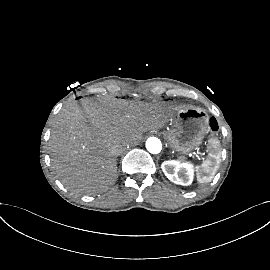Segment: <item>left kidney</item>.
<instances>
[{"instance_id": "5707ae66", "label": "left kidney", "mask_w": 270, "mask_h": 270, "mask_svg": "<svg viewBox=\"0 0 270 270\" xmlns=\"http://www.w3.org/2000/svg\"><path fill=\"white\" fill-rule=\"evenodd\" d=\"M161 168L165 176L175 184L187 186L194 178V171L191 167L183 166L175 160L164 161Z\"/></svg>"}]
</instances>
